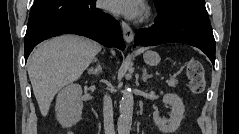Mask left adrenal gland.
<instances>
[{
  "label": "left adrenal gland",
  "instance_id": "1",
  "mask_svg": "<svg viewBox=\"0 0 239 134\" xmlns=\"http://www.w3.org/2000/svg\"><path fill=\"white\" fill-rule=\"evenodd\" d=\"M152 77V75L150 74H148L147 73V70H146V68H144L143 69V74H142V80H143V82H147V80L149 79V78H151Z\"/></svg>",
  "mask_w": 239,
  "mask_h": 134
}]
</instances>
